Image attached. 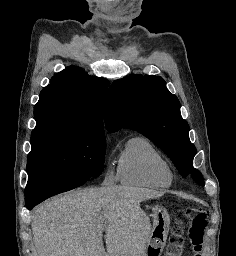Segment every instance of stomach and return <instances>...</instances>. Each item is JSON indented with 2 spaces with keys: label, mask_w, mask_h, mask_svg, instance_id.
Returning a JSON list of instances; mask_svg holds the SVG:
<instances>
[{
  "label": "stomach",
  "mask_w": 236,
  "mask_h": 256,
  "mask_svg": "<svg viewBox=\"0 0 236 256\" xmlns=\"http://www.w3.org/2000/svg\"><path fill=\"white\" fill-rule=\"evenodd\" d=\"M152 216L153 230L143 256H160L167 240L170 219L166 209L155 206Z\"/></svg>",
  "instance_id": "1"
}]
</instances>
